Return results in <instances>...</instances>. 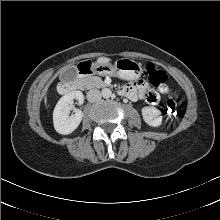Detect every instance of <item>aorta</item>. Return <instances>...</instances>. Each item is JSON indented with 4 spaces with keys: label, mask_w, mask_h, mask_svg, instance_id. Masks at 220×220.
Segmentation results:
<instances>
[{
    "label": "aorta",
    "mask_w": 220,
    "mask_h": 220,
    "mask_svg": "<svg viewBox=\"0 0 220 220\" xmlns=\"http://www.w3.org/2000/svg\"><path fill=\"white\" fill-rule=\"evenodd\" d=\"M101 94H102L103 98L108 99L111 97L112 91L109 88H105L102 90Z\"/></svg>",
    "instance_id": "obj_1"
}]
</instances>
